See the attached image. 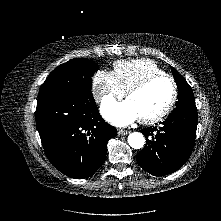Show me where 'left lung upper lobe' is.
Returning a JSON list of instances; mask_svg holds the SVG:
<instances>
[{"instance_id": "obj_1", "label": "left lung upper lobe", "mask_w": 221, "mask_h": 221, "mask_svg": "<svg viewBox=\"0 0 221 221\" xmlns=\"http://www.w3.org/2000/svg\"><path fill=\"white\" fill-rule=\"evenodd\" d=\"M172 70L178 86V101L176 102V108L173 111L197 110L191 87L174 68H172Z\"/></svg>"}]
</instances>
